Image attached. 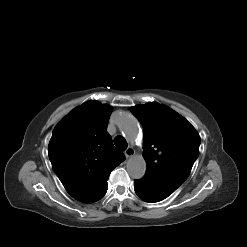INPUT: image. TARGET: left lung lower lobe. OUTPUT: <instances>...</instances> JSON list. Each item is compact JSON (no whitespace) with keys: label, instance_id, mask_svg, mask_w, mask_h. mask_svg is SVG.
<instances>
[{"label":"left lung lower lobe","instance_id":"obj_1","mask_svg":"<svg viewBox=\"0 0 247 247\" xmlns=\"http://www.w3.org/2000/svg\"><path fill=\"white\" fill-rule=\"evenodd\" d=\"M134 190L143 201L149 203L162 201L170 195L157 188L145 178L134 181Z\"/></svg>","mask_w":247,"mask_h":247}]
</instances>
